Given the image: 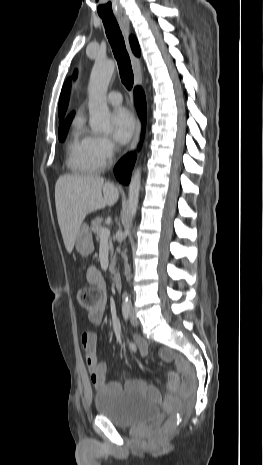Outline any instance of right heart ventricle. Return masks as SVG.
Instances as JSON below:
<instances>
[{
  "label": "right heart ventricle",
  "mask_w": 263,
  "mask_h": 465,
  "mask_svg": "<svg viewBox=\"0 0 263 465\" xmlns=\"http://www.w3.org/2000/svg\"><path fill=\"white\" fill-rule=\"evenodd\" d=\"M95 137L90 135L80 121L72 127L67 144V165L76 172L91 174L100 171L103 165L95 155Z\"/></svg>",
  "instance_id": "right-heart-ventricle-1"
}]
</instances>
